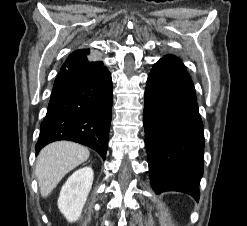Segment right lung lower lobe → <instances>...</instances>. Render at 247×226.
Wrapping results in <instances>:
<instances>
[{"label": "right lung lower lobe", "instance_id": "right-lung-lower-lobe-1", "mask_svg": "<svg viewBox=\"0 0 247 226\" xmlns=\"http://www.w3.org/2000/svg\"><path fill=\"white\" fill-rule=\"evenodd\" d=\"M88 50L68 56L55 80L47 114L41 123L36 153L57 140H71L106 157L112 117L113 90L102 61Z\"/></svg>", "mask_w": 247, "mask_h": 226}]
</instances>
